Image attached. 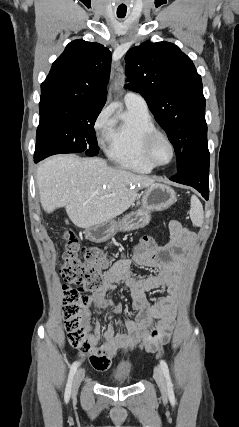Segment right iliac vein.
<instances>
[{
    "instance_id": "right-iliac-vein-1",
    "label": "right iliac vein",
    "mask_w": 239,
    "mask_h": 427,
    "mask_svg": "<svg viewBox=\"0 0 239 427\" xmlns=\"http://www.w3.org/2000/svg\"><path fill=\"white\" fill-rule=\"evenodd\" d=\"M85 371L84 369L80 368L74 378L73 387H72V395L75 396L78 392V388L84 378Z\"/></svg>"
}]
</instances>
